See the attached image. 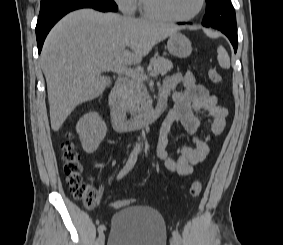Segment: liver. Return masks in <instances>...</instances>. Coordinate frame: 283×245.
I'll return each mask as SVG.
<instances>
[{"instance_id": "6515ba94", "label": "liver", "mask_w": 283, "mask_h": 245, "mask_svg": "<svg viewBox=\"0 0 283 245\" xmlns=\"http://www.w3.org/2000/svg\"><path fill=\"white\" fill-rule=\"evenodd\" d=\"M178 30L93 9L66 15L48 34L40 57L52 130L58 131L77 105L104 92L109 83L101 75L104 65L112 61L138 64L157 43Z\"/></svg>"}]
</instances>
